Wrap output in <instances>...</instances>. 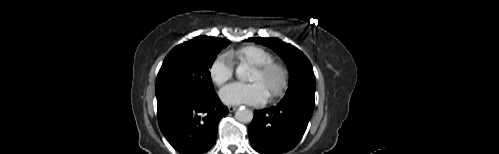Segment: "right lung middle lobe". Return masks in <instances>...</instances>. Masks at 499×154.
I'll return each mask as SVG.
<instances>
[{
    "label": "right lung middle lobe",
    "mask_w": 499,
    "mask_h": 154,
    "mask_svg": "<svg viewBox=\"0 0 499 154\" xmlns=\"http://www.w3.org/2000/svg\"><path fill=\"white\" fill-rule=\"evenodd\" d=\"M229 40L198 36L173 48L157 76L156 96L174 92L205 95L214 91L210 71L217 54Z\"/></svg>",
    "instance_id": "1"
}]
</instances>
